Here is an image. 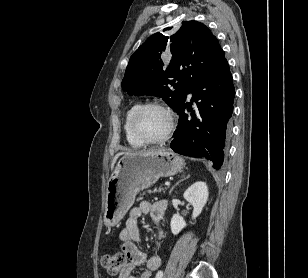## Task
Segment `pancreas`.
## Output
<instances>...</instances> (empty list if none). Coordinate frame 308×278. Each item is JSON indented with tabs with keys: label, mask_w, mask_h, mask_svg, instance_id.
Returning a JSON list of instances; mask_svg holds the SVG:
<instances>
[{
	"label": "pancreas",
	"mask_w": 308,
	"mask_h": 278,
	"mask_svg": "<svg viewBox=\"0 0 308 278\" xmlns=\"http://www.w3.org/2000/svg\"><path fill=\"white\" fill-rule=\"evenodd\" d=\"M167 188H163V187H160V188H156V189H154L153 191H149L150 193H155V192H165V190H166Z\"/></svg>",
	"instance_id": "obj_1"
}]
</instances>
